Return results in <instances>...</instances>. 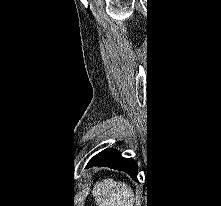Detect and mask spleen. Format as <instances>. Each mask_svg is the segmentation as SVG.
I'll return each instance as SVG.
<instances>
[{
	"instance_id": "obj_1",
	"label": "spleen",
	"mask_w": 221,
	"mask_h": 206,
	"mask_svg": "<svg viewBox=\"0 0 221 206\" xmlns=\"http://www.w3.org/2000/svg\"><path fill=\"white\" fill-rule=\"evenodd\" d=\"M93 195L98 206H134L135 202L131 187L112 179H105Z\"/></svg>"
}]
</instances>
